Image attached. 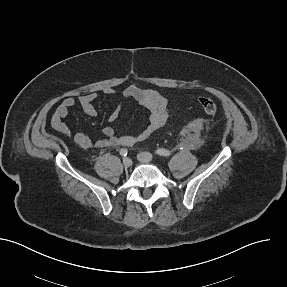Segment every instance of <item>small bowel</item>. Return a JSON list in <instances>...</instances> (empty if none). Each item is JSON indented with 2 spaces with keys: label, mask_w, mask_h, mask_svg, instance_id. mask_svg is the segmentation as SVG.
Masks as SVG:
<instances>
[{
  "label": "small bowel",
  "mask_w": 287,
  "mask_h": 287,
  "mask_svg": "<svg viewBox=\"0 0 287 287\" xmlns=\"http://www.w3.org/2000/svg\"><path fill=\"white\" fill-rule=\"evenodd\" d=\"M99 94L117 95V92L112 88H104L100 91L90 92L74 97L65 98L55 110L52 123L54 127L65 137L72 138L74 143L82 148H107V147H130L150 137L155 131L162 128L170 114V103L168 99L156 90L143 89L136 85H129L125 88L121 96L125 99H130L145 107L150 114L149 122L146 127L135 135H116V129L113 126H107L102 130L103 137L92 139L89 135L83 132L72 134L70 128L65 123V119L69 111L78 103L83 112L88 116H95L96 109L94 101ZM122 111L121 105H118L110 114L109 121L114 123L120 117Z\"/></svg>",
  "instance_id": "1"
}]
</instances>
